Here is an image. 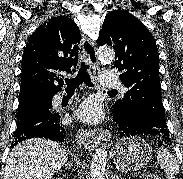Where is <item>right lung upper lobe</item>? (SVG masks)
<instances>
[{"instance_id": "cb5924a9", "label": "right lung upper lobe", "mask_w": 183, "mask_h": 179, "mask_svg": "<svg viewBox=\"0 0 183 179\" xmlns=\"http://www.w3.org/2000/svg\"><path fill=\"white\" fill-rule=\"evenodd\" d=\"M80 40L79 28L67 16L53 17L38 27L23 54L20 97L59 92L63 85L60 73L72 72L77 66Z\"/></svg>"}]
</instances>
